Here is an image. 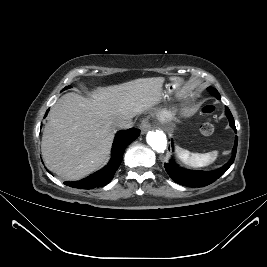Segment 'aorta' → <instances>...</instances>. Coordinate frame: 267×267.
<instances>
[{
    "label": "aorta",
    "mask_w": 267,
    "mask_h": 267,
    "mask_svg": "<svg viewBox=\"0 0 267 267\" xmlns=\"http://www.w3.org/2000/svg\"><path fill=\"white\" fill-rule=\"evenodd\" d=\"M146 140L148 145L157 152L163 153L167 147L166 135L162 131H149Z\"/></svg>",
    "instance_id": "aorta-1"
}]
</instances>
